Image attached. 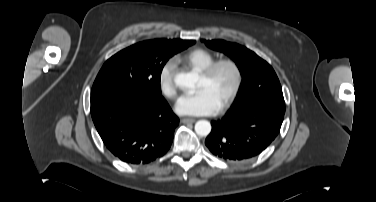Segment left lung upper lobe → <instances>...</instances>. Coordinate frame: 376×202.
Segmentation results:
<instances>
[{
	"label": "left lung upper lobe",
	"instance_id": "left-lung-upper-lobe-1",
	"mask_svg": "<svg viewBox=\"0 0 376 202\" xmlns=\"http://www.w3.org/2000/svg\"><path fill=\"white\" fill-rule=\"evenodd\" d=\"M205 44L229 55L237 64L241 75V95L231 109L241 112L253 105H261L285 113V102L280 82L273 68L244 46L224 40L206 41Z\"/></svg>",
	"mask_w": 376,
	"mask_h": 202
}]
</instances>
